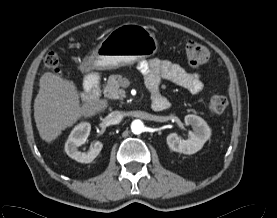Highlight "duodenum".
<instances>
[{
	"mask_svg": "<svg viewBox=\"0 0 277 218\" xmlns=\"http://www.w3.org/2000/svg\"><path fill=\"white\" fill-rule=\"evenodd\" d=\"M101 80L95 73H90L84 80V89L81 92V97L85 101L96 99L100 94ZM169 107L167 100L163 98L158 99V110H166Z\"/></svg>",
	"mask_w": 277,
	"mask_h": 218,
	"instance_id": "1",
	"label": "duodenum"
}]
</instances>
